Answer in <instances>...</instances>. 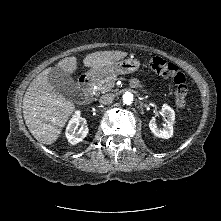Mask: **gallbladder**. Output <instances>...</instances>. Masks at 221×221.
<instances>
[{
	"label": "gallbladder",
	"mask_w": 221,
	"mask_h": 221,
	"mask_svg": "<svg viewBox=\"0 0 221 221\" xmlns=\"http://www.w3.org/2000/svg\"><path fill=\"white\" fill-rule=\"evenodd\" d=\"M49 83L62 95L72 98L79 93L73 78L59 67H53L48 73Z\"/></svg>",
	"instance_id": "obj_1"
}]
</instances>
